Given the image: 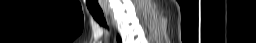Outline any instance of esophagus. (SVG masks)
I'll return each instance as SVG.
<instances>
[{
	"label": "esophagus",
	"instance_id": "1",
	"mask_svg": "<svg viewBox=\"0 0 256 43\" xmlns=\"http://www.w3.org/2000/svg\"><path fill=\"white\" fill-rule=\"evenodd\" d=\"M106 15H108V11L105 10ZM114 42L116 43V38H114Z\"/></svg>",
	"mask_w": 256,
	"mask_h": 43
}]
</instances>
